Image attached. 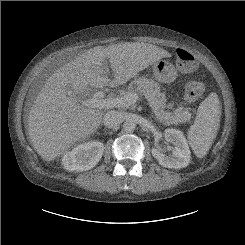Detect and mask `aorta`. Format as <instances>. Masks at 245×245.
I'll return each mask as SVG.
<instances>
[{
	"mask_svg": "<svg viewBox=\"0 0 245 245\" xmlns=\"http://www.w3.org/2000/svg\"><path fill=\"white\" fill-rule=\"evenodd\" d=\"M135 128H136V124L133 121H126L123 124V129L128 133L133 132Z\"/></svg>",
	"mask_w": 245,
	"mask_h": 245,
	"instance_id": "obj_1",
	"label": "aorta"
}]
</instances>
